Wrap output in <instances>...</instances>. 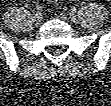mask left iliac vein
<instances>
[{"label": "left iliac vein", "mask_w": 111, "mask_h": 106, "mask_svg": "<svg viewBox=\"0 0 111 106\" xmlns=\"http://www.w3.org/2000/svg\"><path fill=\"white\" fill-rule=\"evenodd\" d=\"M68 16L72 21L76 20V16L73 13H69Z\"/></svg>", "instance_id": "1"}]
</instances>
